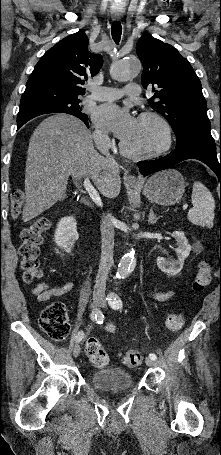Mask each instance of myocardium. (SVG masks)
<instances>
[{"label":"myocardium","mask_w":221,"mask_h":455,"mask_svg":"<svg viewBox=\"0 0 221 455\" xmlns=\"http://www.w3.org/2000/svg\"><path fill=\"white\" fill-rule=\"evenodd\" d=\"M153 119L156 121L162 130L163 141L158 147L146 150V151H136L130 149L123 141L120 143V151L125 156L132 159H149L163 155L166 153L172 145L173 135L172 128L168 120L160 113L152 110H147L142 112L138 119Z\"/></svg>","instance_id":"obj_1"}]
</instances>
